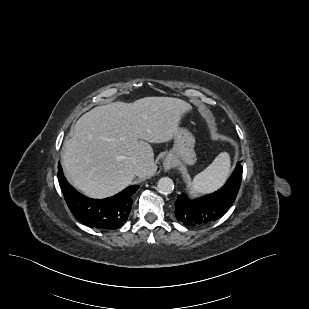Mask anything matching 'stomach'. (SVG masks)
Returning a JSON list of instances; mask_svg holds the SVG:
<instances>
[{"mask_svg": "<svg viewBox=\"0 0 309 309\" xmlns=\"http://www.w3.org/2000/svg\"><path fill=\"white\" fill-rule=\"evenodd\" d=\"M195 138L187 129L179 127L174 135L173 148L168 152L166 160L185 169L187 165L195 164L197 158L194 151Z\"/></svg>", "mask_w": 309, "mask_h": 309, "instance_id": "obj_1", "label": "stomach"}]
</instances>
